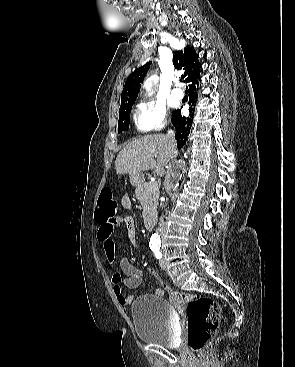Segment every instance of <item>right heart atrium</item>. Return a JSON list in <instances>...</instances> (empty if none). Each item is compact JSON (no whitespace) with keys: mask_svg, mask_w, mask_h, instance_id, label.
Instances as JSON below:
<instances>
[{"mask_svg":"<svg viewBox=\"0 0 295 367\" xmlns=\"http://www.w3.org/2000/svg\"><path fill=\"white\" fill-rule=\"evenodd\" d=\"M134 123L141 132H154L164 128L167 123L165 107L155 102H144L134 110Z\"/></svg>","mask_w":295,"mask_h":367,"instance_id":"obj_1","label":"right heart atrium"}]
</instances>
